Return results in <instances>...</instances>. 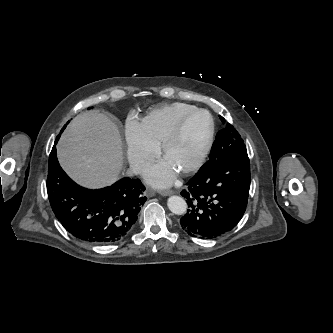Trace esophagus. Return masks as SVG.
Here are the masks:
<instances>
[{
  "instance_id": "1",
  "label": "esophagus",
  "mask_w": 333,
  "mask_h": 333,
  "mask_svg": "<svg viewBox=\"0 0 333 333\" xmlns=\"http://www.w3.org/2000/svg\"><path fill=\"white\" fill-rule=\"evenodd\" d=\"M159 193L162 195V196H168V195H171L173 194L174 192L172 190H162V191H159ZM148 196H154V193L152 192H149L148 193Z\"/></svg>"
}]
</instances>
